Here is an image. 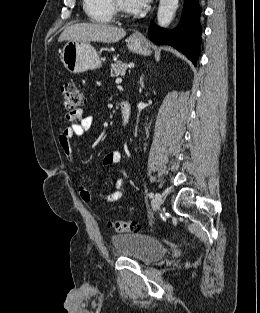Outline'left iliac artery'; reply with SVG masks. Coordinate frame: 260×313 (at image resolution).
I'll list each match as a JSON object with an SVG mask.
<instances>
[{
    "label": "left iliac artery",
    "mask_w": 260,
    "mask_h": 313,
    "mask_svg": "<svg viewBox=\"0 0 260 313\" xmlns=\"http://www.w3.org/2000/svg\"><path fill=\"white\" fill-rule=\"evenodd\" d=\"M148 196H149L150 198H152V197H153V193L150 192V193L148 194Z\"/></svg>",
    "instance_id": "44dca946"
}]
</instances>
